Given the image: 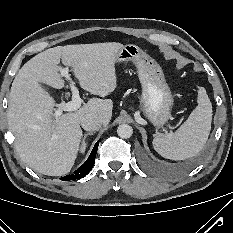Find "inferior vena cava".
<instances>
[{"instance_id": "inferior-vena-cava-1", "label": "inferior vena cava", "mask_w": 233, "mask_h": 233, "mask_svg": "<svg viewBox=\"0 0 233 233\" xmlns=\"http://www.w3.org/2000/svg\"><path fill=\"white\" fill-rule=\"evenodd\" d=\"M102 124V120L93 114H87L81 120L82 128L87 131H97L100 129Z\"/></svg>"}]
</instances>
